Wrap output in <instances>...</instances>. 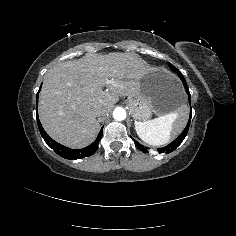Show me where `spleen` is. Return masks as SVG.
Segmentation results:
<instances>
[{
  "mask_svg": "<svg viewBox=\"0 0 236 236\" xmlns=\"http://www.w3.org/2000/svg\"><path fill=\"white\" fill-rule=\"evenodd\" d=\"M179 115L180 112H175L145 122L136 121L135 129L137 135L149 145L160 146L167 144L170 140L173 123Z\"/></svg>",
  "mask_w": 236,
  "mask_h": 236,
  "instance_id": "spleen-1",
  "label": "spleen"
}]
</instances>
